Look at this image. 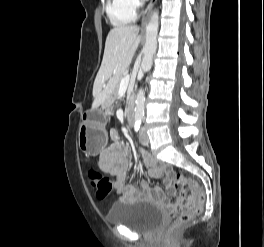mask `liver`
Listing matches in <instances>:
<instances>
[{
  "label": "liver",
  "mask_w": 264,
  "mask_h": 247,
  "mask_svg": "<svg viewBox=\"0 0 264 247\" xmlns=\"http://www.w3.org/2000/svg\"><path fill=\"white\" fill-rule=\"evenodd\" d=\"M136 26H121L110 30L105 42L101 67L93 85L92 109L103 105L131 64L141 37Z\"/></svg>",
  "instance_id": "1"
}]
</instances>
